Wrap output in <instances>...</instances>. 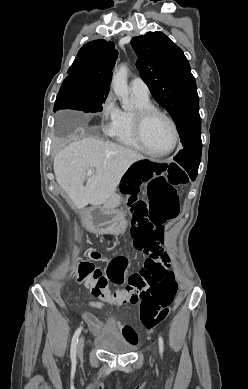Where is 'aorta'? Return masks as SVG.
<instances>
[{"instance_id": "762f6f07", "label": "aorta", "mask_w": 248, "mask_h": 389, "mask_svg": "<svg viewBox=\"0 0 248 389\" xmlns=\"http://www.w3.org/2000/svg\"><path fill=\"white\" fill-rule=\"evenodd\" d=\"M128 69L125 65H121L119 69L114 73L112 78V87L116 96L120 99L122 108L129 109V88L127 84Z\"/></svg>"}]
</instances>
